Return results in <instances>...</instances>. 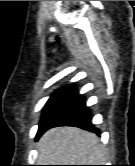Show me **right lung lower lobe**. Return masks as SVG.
Segmentation results:
<instances>
[{"label":"right lung lower lobe","instance_id":"1","mask_svg":"<svg viewBox=\"0 0 135 166\" xmlns=\"http://www.w3.org/2000/svg\"><path fill=\"white\" fill-rule=\"evenodd\" d=\"M72 94V101L67 110L54 122L43 128L37 133V138L40 137L46 130L57 126H75L90 132H96L98 129L91 123L90 111L85 105L84 97L78 95L73 88H68Z\"/></svg>","mask_w":135,"mask_h":166}]
</instances>
